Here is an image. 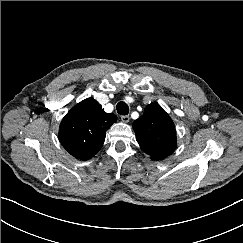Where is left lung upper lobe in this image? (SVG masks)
<instances>
[{
  "label": "left lung upper lobe",
  "instance_id": "1",
  "mask_svg": "<svg viewBox=\"0 0 243 243\" xmlns=\"http://www.w3.org/2000/svg\"><path fill=\"white\" fill-rule=\"evenodd\" d=\"M140 148L154 160L171 155L176 148V130L170 116L158 103L146 106L133 123Z\"/></svg>",
  "mask_w": 243,
  "mask_h": 243
}]
</instances>
